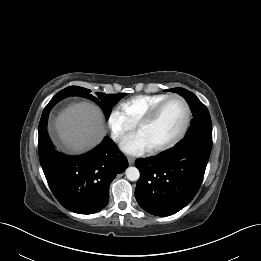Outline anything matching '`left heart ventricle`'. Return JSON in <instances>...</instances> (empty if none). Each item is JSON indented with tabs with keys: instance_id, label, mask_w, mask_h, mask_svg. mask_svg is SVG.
Instances as JSON below:
<instances>
[{
	"instance_id": "left-heart-ventricle-1",
	"label": "left heart ventricle",
	"mask_w": 261,
	"mask_h": 261,
	"mask_svg": "<svg viewBox=\"0 0 261 261\" xmlns=\"http://www.w3.org/2000/svg\"><path fill=\"white\" fill-rule=\"evenodd\" d=\"M185 118V110L178 100L169 102L149 125L138 130L150 148L172 140L180 131Z\"/></svg>"
}]
</instances>
